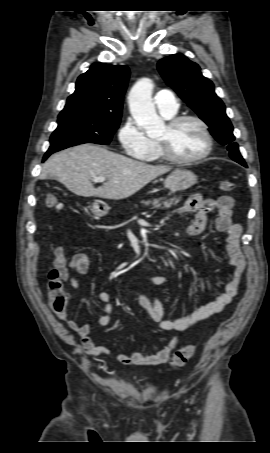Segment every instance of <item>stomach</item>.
I'll use <instances>...</instances> for the list:
<instances>
[{"label": "stomach", "mask_w": 270, "mask_h": 453, "mask_svg": "<svg viewBox=\"0 0 270 453\" xmlns=\"http://www.w3.org/2000/svg\"><path fill=\"white\" fill-rule=\"evenodd\" d=\"M197 182V176L187 169H175L164 181V186L171 192L183 191L192 187ZM109 207L102 201L95 200L92 204V213L102 217L108 213Z\"/></svg>", "instance_id": "obj_1"}]
</instances>
